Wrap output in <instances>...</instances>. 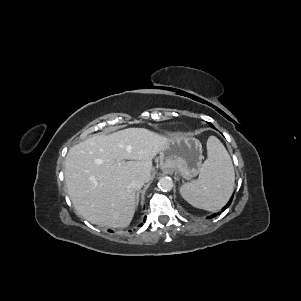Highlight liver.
<instances>
[{"label": "liver", "mask_w": 301, "mask_h": 301, "mask_svg": "<svg viewBox=\"0 0 301 301\" xmlns=\"http://www.w3.org/2000/svg\"><path fill=\"white\" fill-rule=\"evenodd\" d=\"M169 140L148 129L127 128L70 148L64 175L76 211L101 227H127L136 208L131 182L137 176L150 181L152 160Z\"/></svg>", "instance_id": "1"}]
</instances>
